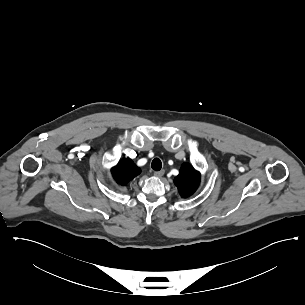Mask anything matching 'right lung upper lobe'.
Listing matches in <instances>:
<instances>
[{
	"label": "right lung upper lobe",
	"instance_id": "obj_1",
	"mask_svg": "<svg viewBox=\"0 0 305 305\" xmlns=\"http://www.w3.org/2000/svg\"><path fill=\"white\" fill-rule=\"evenodd\" d=\"M140 172V168L129 158L122 159L112 168V175L120 185H126L130 180L139 175Z\"/></svg>",
	"mask_w": 305,
	"mask_h": 305
}]
</instances>
